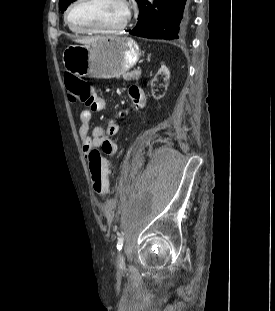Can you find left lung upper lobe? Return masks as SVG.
<instances>
[{
  "label": "left lung upper lobe",
  "mask_w": 275,
  "mask_h": 311,
  "mask_svg": "<svg viewBox=\"0 0 275 311\" xmlns=\"http://www.w3.org/2000/svg\"><path fill=\"white\" fill-rule=\"evenodd\" d=\"M74 1L75 0H60L59 6L61 9V12L63 13L66 10V8ZM143 1L144 0H136V2L138 3L139 9H140Z\"/></svg>",
  "instance_id": "1"
}]
</instances>
